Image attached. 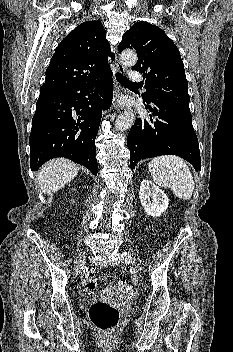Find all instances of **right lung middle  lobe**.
I'll return each mask as SVG.
<instances>
[{"label": "right lung middle lobe", "mask_w": 233, "mask_h": 352, "mask_svg": "<svg viewBox=\"0 0 233 352\" xmlns=\"http://www.w3.org/2000/svg\"><path fill=\"white\" fill-rule=\"evenodd\" d=\"M62 92L64 91L57 90V89H40V96L59 94Z\"/></svg>", "instance_id": "right-lung-middle-lobe-1"}]
</instances>
